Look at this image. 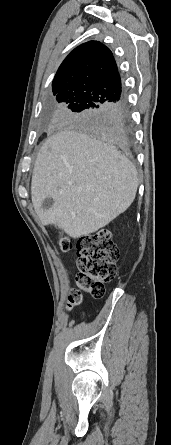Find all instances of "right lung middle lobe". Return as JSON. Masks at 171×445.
<instances>
[{
    "label": "right lung middle lobe",
    "mask_w": 171,
    "mask_h": 445,
    "mask_svg": "<svg viewBox=\"0 0 171 445\" xmlns=\"http://www.w3.org/2000/svg\"><path fill=\"white\" fill-rule=\"evenodd\" d=\"M57 117L66 123L86 127L103 136L99 127L98 117L108 104L98 95L89 92L65 91L56 96Z\"/></svg>",
    "instance_id": "obj_1"
}]
</instances>
